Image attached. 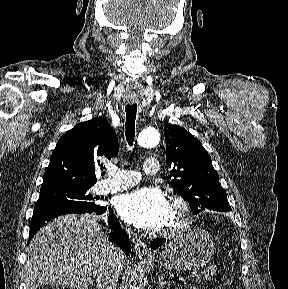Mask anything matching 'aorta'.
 I'll return each mask as SVG.
<instances>
[{"label": "aorta", "instance_id": "obj_1", "mask_svg": "<svg viewBox=\"0 0 288 289\" xmlns=\"http://www.w3.org/2000/svg\"><path fill=\"white\" fill-rule=\"evenodd\" d=\"M159 141L160 135L154 128L144 129L138 136V144L146 148L157 146ZM131 289H139V287L132 286Z\"/></svg>", "mask_w": 288, "mask_h": 289}]
</instances>
